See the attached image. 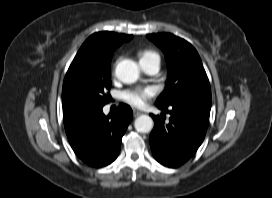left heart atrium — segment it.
I'll use <instances>...</instances> for the list:
<instances>
[{"mask_svg": "<svg viewBox=\"0 0 272 198\" xmlns=\"http://www.w3.org/2000/svg\"><path fill=\"white\" fill-rule=\"evenodd\" d=\"M153 96L149 88L126 91L123 93V100L134 107H141Z\"/></svg>", "mask_w": 272, "mask_h": 198, "instance_id": "1", "label": "left heart atrium"}]
</instances>
